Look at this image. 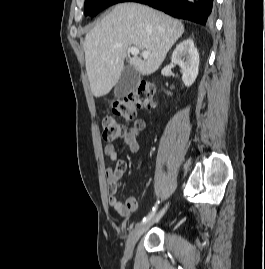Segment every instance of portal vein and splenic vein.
Wrapping results in <instances>:
<instances>
[{
  "label": "portal vein and splenic vein",
  "instance_id": "portal-vein-and-splenic-vein-1",
  "mask_svg": "<svg viewBox=\"0 0 265 269\" xmlns=\"http://www.w3.org/2000/svg\"><path fill=\"white\" fill-rule=\"evenodd\" d=\"M130 53L132 55H138L140 53V51H139V49L137 47H130ZM141 55H142L143 58H147L150 55V52L143 51Z\"/></svg>",
  "mask_w": 265,
  "mask_h": 269
}]
</instances>
